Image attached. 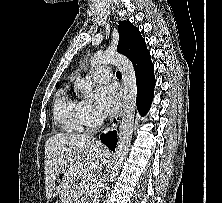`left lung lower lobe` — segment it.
I'll list each match as a JSON object with an SVG mask.
<instances>
[{"label": "left lung lower lobe", "instance_id": "obj_1", "mask_svg": "<svg viewBox=\"0 0 222 203\" xmlns=\"http://www.w3.org/2000/svg\"><path fill=\"white\" fill-rule=\"evenodd\" d=\"M131 62L136 71L137 107L139 113L144 116L151 106L155 86L154 65L145 43L131 59Z\"/></svg>", "mask_w": 222, "mask_h": 203}]
</instances>
